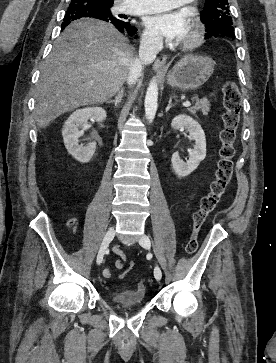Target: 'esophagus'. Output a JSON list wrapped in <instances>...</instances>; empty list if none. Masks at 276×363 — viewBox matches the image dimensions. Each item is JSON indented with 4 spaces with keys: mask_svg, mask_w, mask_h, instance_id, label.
<instances>
[{
    "mask_svg": "<svg viewBox=\"0 0 276 363\" xmlns=\"http://www.w3.org/2000/svg\"><path fill=\"white\" fill-rule=\"evenodd\" d=\"M167 61V56L165 54H161L156 61L154 62L153 65V69L158 72L161 73L163 72L164 68H165V64Z\"/></svg>",
    "mask_w": 276,
    "mask_h": 363,
    "instance_id": "obj_1",
    "label": "esophagus"
}]
</instances>
